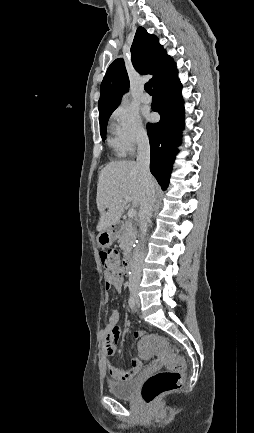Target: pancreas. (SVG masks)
I'll use <instances>...</instances> for the list:
<instances>
[{
  "mask_svg": "<svg viewBox=\"0 0 254 433\" xmlns=\"http://www.w3.org/2000/svg\"><path fill=\"white\" fill-rule=\"evenodd\" d=\"M136 237V227L132 220H126L120 229L119 243L124 248L131 245Z\"/></svg>",
  "mask_w": 254,
  "mask_h": 433,
  "instance_id": "cf45deb5",
  "label": "pancreas"
}]
</instances>
